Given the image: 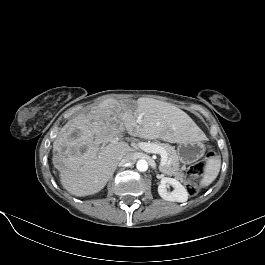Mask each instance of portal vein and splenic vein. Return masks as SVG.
<instances>
[{
	"mask_svg": "<svg viewBox=\"0 0 265 265\" xmlns=\"http://www.w3.org/2000/svg\"><path fill=\"white\" fill-rule=\"evenodd\" d=\"M138 146L140 149L147 153H154V154H159L161 156V165H165L168 162V156L167 152L164 148L161 146L154 144V143H149V142H140L138 143Z\"/></svg>",
	"mask_w": 265,
	"mask_h": 265,
	"instance_id": "portal-vein-and-splenic-vein-1",
	"label": "portal vein and splenic vein"
}]
</instances>
